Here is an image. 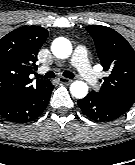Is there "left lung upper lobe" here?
I'll use <instances>...</instances> for the list:
<instances>
[{
    "instance_id": "1",
    "label": "left lung upper lobe",
    "mask_w": 135,
    "mask_h": 165,
    "mask_svg": "<svg viewBox=\"0 0 135 165\" xmlns=\"http://www.w3.org/2000/svg\"><path fill=\"white\" fill-rule=\"evenodd\" d=\"M86 30L96 44L104 77L97 96L107 100L116 109L126 113L135 102V51L115 30L102 25H89Z\"/></svg>"
}]
</instances>
